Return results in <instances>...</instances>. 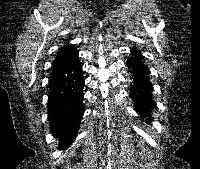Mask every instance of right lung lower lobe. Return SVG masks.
Returning <instances> with one entry per match:
<instances>
[{
  "instance_id": "obj_1",
  "label": "right lung lower lobe",
  "mask_w": 200,
  "mask_h": 169,
  "mask_svg": "<svg viewBox=\"0 0 200 169\" xmlns=\"http://www.w3.org/2000/svg\"><path fill=\"white\" fill-rule=\"evenodd\" d=\"M78 56L53 64L49 79L48 120L51 133L61 139V148L72 143L84 112V77Z\"/></svg>"
}]
</instances>
